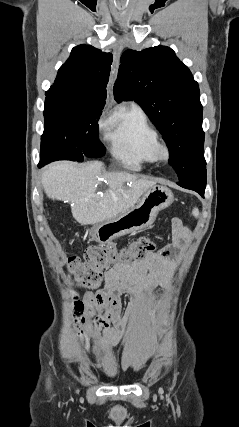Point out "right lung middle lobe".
<instances>
[{"label": "right lung middle lobe", "mask_w": 239, "mask_h": 427, "mask_svg": "<svg viewBox=\"0 0 239 427\" xmlns=\"http://www.w3.org/2000/svg\"><path fill=\"white\" fill-rule=\"evenodd\" d=\"M102 109L64 103H45L40 165L55 160L83 161L104 156L98 120Z\"/></svg>", "instance_id": "right-lung-middle-lobe-1"}]
</instances>
